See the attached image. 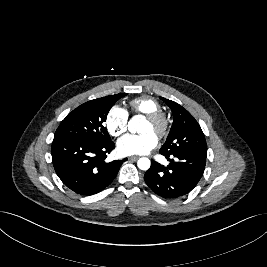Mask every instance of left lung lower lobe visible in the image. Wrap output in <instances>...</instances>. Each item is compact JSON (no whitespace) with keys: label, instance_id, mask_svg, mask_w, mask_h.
Returning a JSON list of instances; mask_svg holds the SVG:
<instances>
[{"label":"left lung lower lobe","instance_id":"obj_1","mask_svg":"<svg viewBox=\"0 0 267 267\" xmlns=\"http://www.w3.org/2000/svg\"><path fill=\"white\" fill-rule=\"evenodd\" d=\"M170 164L167 167L152 161L144 175L146 184L157 195L176 199L188 194L201 179L206 158L192 154L164 155Z\"/></svg>","mask_w":267,"mask_h":267}]
</instances>
